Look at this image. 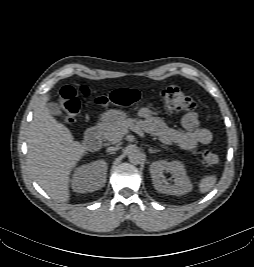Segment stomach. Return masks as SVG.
I'll return each instance as SVG.
<instances>
[{
	"label": "stomach",
	"mask_w": 254,
	"mask_h": 267,
	"mask_svg": "<svg viewBox=\"0 0 254 267\" xmlns=\"http://www.w3.org/2000/svg\"><path fill=\"white\" fill-rule=\"evenodd\" d=\"M127 117V114L121 110H108L101 116V121L104 124H110L115 121H122Z\"/></svg>",
	"instance_id": "0dacf381"
}]
</instances>
